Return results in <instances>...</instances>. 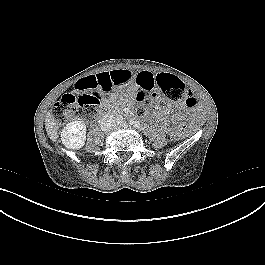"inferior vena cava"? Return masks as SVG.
<instances>
[{"label":"inferior vena cava","instance_id":"inferior-vena-cava-1","mask_svg":"<svg viewBox=\"0 0 265 265\" xmlns=\"http://www.w3.org/2000/svg\"><path fill=\"white\" fill-rule=\"evenodd\" d=\"M100 127L103 131L108 132L116 125V120L113 115H104L99 121Z\"/></svg>","mask_w":265,"mask_h":265}]
</instances>
